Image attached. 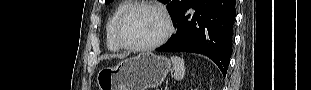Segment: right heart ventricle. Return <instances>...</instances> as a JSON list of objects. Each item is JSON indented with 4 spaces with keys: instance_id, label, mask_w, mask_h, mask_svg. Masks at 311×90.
Wrapping results in <instances>:
<instances>
[{
    "instance_id": "right-heart-ventricle-1",
    "label": "right heart ventricle",
    "mask_w": 311,
    "mask_h": 90,
    "mask_svg": "<svg viewBox=\"0 0 311 90\" xmlns=\"http://www.w3.org/2000/svg\"><path fill=\"white\" fill-rule=\"evenodd\" d=\"M132 5L133 3L130 1H124V2L119 3L107 21L106 44H107V47L112 51H118L121 49V47L119 46V44L117 43L115 39L116 22L118 18L120 17V15Z\"/></svg>"
}]
</instances>
